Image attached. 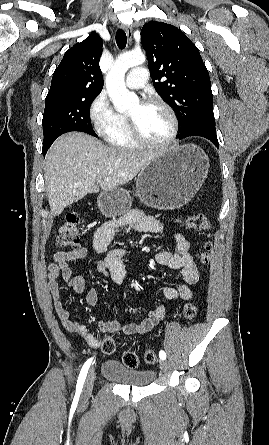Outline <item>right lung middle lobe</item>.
I'll return each mask as SVG.
<instances>
[{
	"instance_id": "dd1d6c3e",
	"label": "right lung middle lobe",
	"mask_w": 269,
	"mask_h": 445,
	"mask_svg": "<svg viewBox=\"0 0 269 445\" xmlns=\"http://www.w3.org/2000/svg\"><path fill=\"white\" fill-rule=\"evenodd\" d=\"M99 94L47 96L43 114V149L45 155L52 143L63 133L82 131L97 137L90 119L89 108Z\"/></svg>"
}]
</instances>
